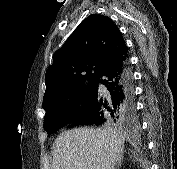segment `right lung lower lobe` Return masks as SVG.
Instances as JSON below:
<instances>
[{
  "label": "right lung lower lobe",
  "mask_w": 177,
  "mask_h": 169,
  "mask_svg": "<svg viewBox=\"0 0 177 169\" xmlns=\"http://www.w3.org/2000/svg\"><path fill=\"white\" fill-rule=\"evenodd\" d=\"M98 84L104 85L105 90H98ZM95 85L92 105L69 122L67 127L124 124L135 118L133 74L128 56L106 67L96 78Z\"/></svg>",
  "instance_id": "1"
}]
</instances>
